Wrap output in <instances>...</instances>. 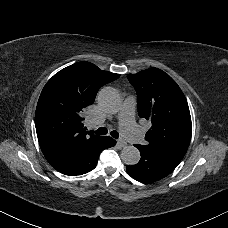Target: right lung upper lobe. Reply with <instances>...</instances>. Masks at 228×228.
<instances>
[{
    "label": "right lung upper lobe",
    "instance_id": "obj_1",
    "mask_svg": "<svg viewBox=\"0 0 228 228\" xmlns=\"http://www.w3.org/2000/svg\"><path fill=\"white\" fill-rule=\"evenodd\" d=\"M120 75L102 71L89 62H78L56 73L38 100L35 125L41 150L50 164L78 147L100 141L86 130L81 114L92 104L100 87Z\"/></svg>",
    "mask_w": 228,
    "mask_h": 228
}]
</instances>
